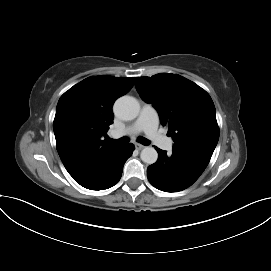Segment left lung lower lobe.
Listing matches in <instances>:
<instances>
[{"mask_svg":"<svg viewBox=\"0 0 271 271\" xmlns=\"http://www.w3.org/2000/svg\"><path fill=\"white\" fill-rule=\"evenodd\" d=\"M158 160L147 169L150 183L165 192H178L191 186L207 167L210 157L173 149L170 156L156 148Z\"/></svg>","mask_w":271,"mask_h":271,"instance_id":"1","label":"left lung lower lobe"}]
</instances>
